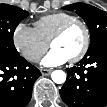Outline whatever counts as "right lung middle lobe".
Masks as SVG:
<instances>
[{
	"label": "right lung middle lobe",
	"instance_id": "obj_1",
	"mask_svg": "<svg viewBox=\"0 0 107 107\" xmlns=\"http://www.w3.org/2000/svg\"><path fill=\"white\" fill-rule=\"evenodd\" d=\"M28 15L27 11L18 7L0 5V54L9 57L19 56L13 43V34L16 26Z\"/></svg>",
	"mask_w": 107,
	"mask_h": 107
}]
</instances>
